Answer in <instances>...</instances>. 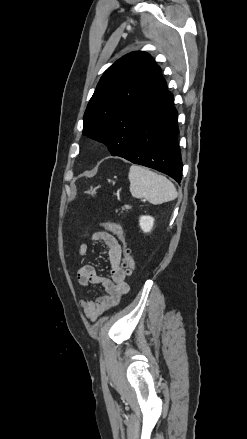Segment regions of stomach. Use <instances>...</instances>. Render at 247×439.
<instances>
[{
	"label": "stomach",
	"mask_w": 247,
	"mask_h": 439,
	"mask_svg": "<svg viewBox=\"0 0 247 439\" xmlns=\"http://www.w3.org/2000/svg\"><path fill=\"white\" fill-rule=\"evenodd\" d=\"M87 193L88 194H90V195H92V196H94L95 194H96V188H90L88 191H87Z\"/></svg>",
	"instance_id": "stomach-1"
}]
</instances>
